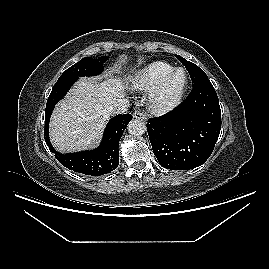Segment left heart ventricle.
Wrapping results in <instances>:
<instances>
[{
	"label": "left heart ventricle",
	"mask_w": 269,
	"mask_h": 269,
	"mask_svg": "<svg viewBox=\"0 0 269 269\" xmlns=\"http://www.w3.org/2000/svg\"><path fill=\"white\" fill-rule=\"evenodd\" d=\"M183 81H184V75L182 73L177 74L170 82L167 89V94L168 95L174 94L180 88Z\"/></svg>",
	"instance_id": "left-heart-ventricle-1"
}]
</instances>
